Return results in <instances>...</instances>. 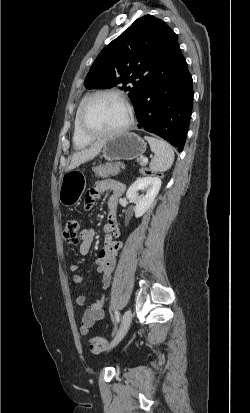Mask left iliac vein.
Wrapping results in <instances>:
<instances>
[{"label":"left iliac vein","instance_id":"obj_1","mask_svg":"<svg viewBox=\"0 0 250 413\" xmlns=\"http://www.w3.org/2000/svg\"><path fill=\"white\" fill-rule=\"evenodd\" d=\"M131 321H132V313L130 310H126L122 316L120 328L111 343V347H114L122 340V338L125 336V334L127 333L130 327Z\"/></svg>","mask_w":250,"mask_h":413}]
</instances>
